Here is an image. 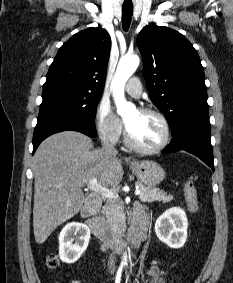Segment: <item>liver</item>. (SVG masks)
<instances>
[{"label":"liver","mask_w":233,"mask_h":283,"mask_svg":"<svg viewBox=\"0 0 233 283\" xmlns=\"http://www.w3.org/2000/svg\"><path fill=\"white\" fill-rule=\"evenodd\" d=\"M33 230L44 243L62 223L82 208V188L96 179L103 187H116L123 177L122 161L105 149H93L92 140L76 131H63L45 139L35 152Z\"/></svg>","instance_id":"1"}]
</instances>
